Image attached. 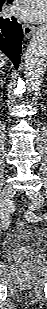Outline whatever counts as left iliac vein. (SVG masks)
<instances>
[{
  "mask_svg": "<svg viewBox=\"0 0 47 309\" xmlns=\"http://www.w3.org/2000/svg\"><path fill=\"white\" fill-rule=\"evenodd\" d=\"M27 195L30 199V210H35L44 203V197L38 191H27Z\"/></svg>",
  "mask_w": 47,
  "mask_h": 309,
  "instance_id": "obj_1",
  "label": "left iliac vein"
}]
</instances>
